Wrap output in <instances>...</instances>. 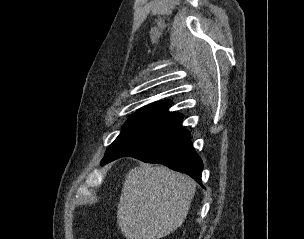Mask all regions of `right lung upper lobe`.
I'll use <instances>...</instances> for the list:
<instances>
[{
    "mask_svg": "<svg viewBox=\"0 0 304 239\" xmlns=\"http://www.w3.org/2000/svg\"><path fill=\"white\" fill-rule=\"evenodd\" d=\"M171 105V101L169 100H163L160 102H156L153 104H149L139 110H137L136 113H142L147 114L159 118H164L168 121H177L179 119L183 118V115L181 113H173L169 112L168 108Z\"/></svg>",
    "mask_w": 304,
    "mask_h": 239,
    "instance_id": "1",
    "label": "right lung upper lobe"
}]
</instances>
